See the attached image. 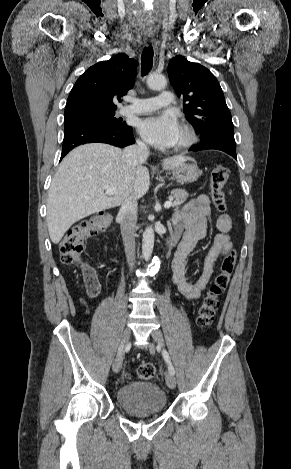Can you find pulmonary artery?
Returning <instances> with one entry per match:
<instances>
[{
  "mask_svg": "<svg viewBox=\"0 0 291 469\" xmlns=\"http://www.w3.org/2000/svg\"><path fill=\"white\" fill-rule=\"evenodd\" d=\"M173 95L169 91H162L158 96L151 98L133 99L131 104L122 109L123 114H144L162 107L170 106Z\"/></svg>",
  "mask_w": 291,
  "mask_h": 469,
  "instance_id": "e3ab8cb5",
  "label": "pulmonary artery"
}]
</instances>
